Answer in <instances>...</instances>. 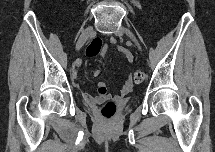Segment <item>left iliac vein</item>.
<instances>
[{
    "label": "left iliac vein",
    "mask_w": 215,
    "mask_h": 152,
    "mask_svg": "<svg viewBox=\"0 0 215 152\" xmlns=\"http://www.w3.org/2000/svg\"><path fill=\"white\" fill-rule=\"evenodd\" d=\"M122 33H125L135 43V45L138 48H140V44H139L136 36L133 34V32L130 29L122 27L118 31L115 32L116 35H120Z\"/></svg>",
    "instance_id": "obj_1"
}]
</instances>
